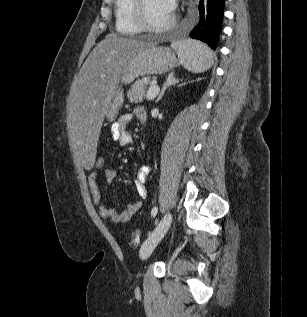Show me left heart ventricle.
<instances>
[{
  "mask_svg": "<svg viewBox=\"0 0 307 317\" xmlns=\"http://www.w3.org/2000/svg\"><path fill=\"white\" fill-rule=\"evenodd\" d=\"M172 12L165 0H146V17L153 26H162L169 22Z\"/></svg>",
  "mask_w": 307,
  "mask_h": 317,
  "instance_id": "1",
  "label": "left heart ventricle"
}]
</instances>
